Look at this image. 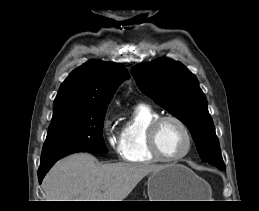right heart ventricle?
Returning a JSON list of instances; mask_svg holds the SVG:
<instances>
[{"instance_id": "obj_1", "label": "right heart ventricle", "mask_w": 259, "mask_h": 211, "mask_svg": "<svg viewBox=\"0 0 259 211\" xmlns=\"http://www.w3.org/2000/svg\"><path fill=\"white\" fill-rule=\"evenodd\" d=\"M159 117L156 110L146 104L134 107L129 118L120 130L122 142L121 156L131 163L154 162L156 158L151 154L147 144V129Z\"/></svg>"}]
</instances>
